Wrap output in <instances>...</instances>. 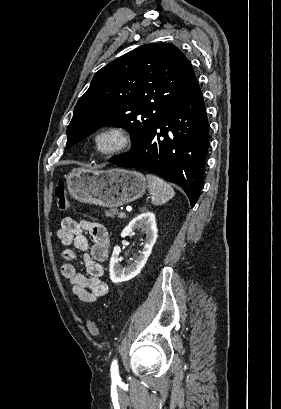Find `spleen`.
<instances>
[{
	"instance_id": "3e777b00",
	"label": "spleen",
	"mask_w": 281,
	"mask_h": 409,
	"mask_svg": "<svg viewBox=\"0 0 281 409\" xmlns=\"http://www.w3.org/2000/svg\"><path fill=\"white\" fill-rule=\"evenodd\" d=\"M146 178L153 205H165L167 200L173 198L175 190L168 182H165L159 176H155V174H146Z\"/></svg>"
}]
</instances>
